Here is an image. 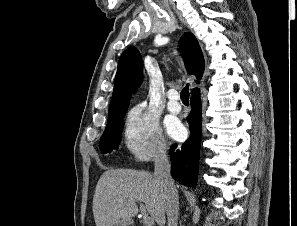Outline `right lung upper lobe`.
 <instances>
[{"mask_svg":"<svg viewBox=\"0 0 297 226\" xmlns=\"http://www.w3.org/2000/svg\"><path fill=\"white\" fill-rule=\"evenodd\" d=\"M179 50L185 58L187 72L201 79L204 71V58L195 36L186 33L180 40ZM142 58L135 47H129L121 55L115 77L110 107L129 106L135 88L142 82Z\"/></svg>","mask_w":297,"mask_h":226,"instance_id":"1","label":"right lung upper lobe"}]
</instances>
